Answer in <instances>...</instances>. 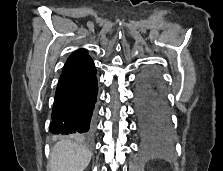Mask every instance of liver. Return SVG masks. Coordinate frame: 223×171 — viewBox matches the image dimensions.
<instances>
[{
  "instance_id": "6515ba94",
  "label": "liver",
  "mask_w": 223,
  "mask_h": 171,
  "mask_svg": "<svg viewBox=\"0 0 223 171\" xmlns=\"http://www.w3.org/2000/svg\"><path fill=\"white\" fill-rule=\"evenodd\" d=\"M91 156V152L80 144L59 141L51 150L49 171H84Z\"/></svg>"
}]
</instances>
